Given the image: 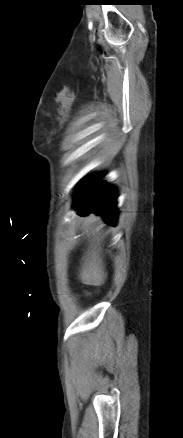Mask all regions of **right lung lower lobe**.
I'll return each mask as SVG.
<instances>
[{"instance_id": "right-lung-lower-lobe-1", "label": "right lung lower lobe", "mask_w": 183, "mask_h": 438, "mask_svg": "<svg viewBox=\"0 0 183 438\" xmlns=\"http://www.w3.org/2000/svg\"><path fill=\"white\" fill-rule=\"evenodd\" d=\"M102 175L83 180L75 195L74 205L81 216L91 212L100 214L107 223L115 226L118 211L116 209V189L101 182Z\"/></svg>"}]
</instances>
